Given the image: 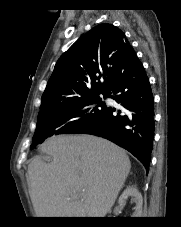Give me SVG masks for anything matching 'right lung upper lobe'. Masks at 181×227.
I'll return each mask as SVG.
<instances>
[{
	"mask_svg": "<svg viewBox=\"0 0 181 227\" xmlns=\"http://www.w3.org/2000/svg\"><path fill=\"white\" fill-rule=\"evenodd\" d=\"M134 56L133 48L119 28L112 24L95 26L58 59L42 95L40 110L108 92Z\"/></svg>",
	"mask_w": 181,
	"mask_h": 227,
	"instance_id": "right-lung-upper-lobe-1",
	"label": "right lung upper lobe"
}]
</instances>
